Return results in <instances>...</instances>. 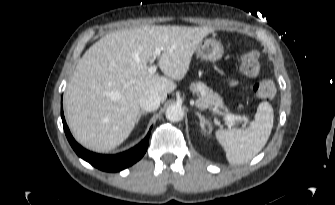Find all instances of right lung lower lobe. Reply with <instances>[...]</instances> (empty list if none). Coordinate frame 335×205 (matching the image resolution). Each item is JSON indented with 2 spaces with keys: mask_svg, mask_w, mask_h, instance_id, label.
I'll return each instance as SVG.
<instances>
[{
  "mask_svg": "<svg viewBox=\"0 0 335 205\" xmlns=\"http://www.w3.org/2000/svg\"><path fill=\"white\" fill-rule=\"evenodd\" d=\"M61 118H62L63 128L65 131L66 137L70 145L76 152V154L100 170L107 171V172L121 171L131 166L138 160H140L147 150L150 131L148 132L146 137L137 146L123 153L116 154V155H100V154L90 152L84 149L83 147H81L72 137L70 130L66 124L62 107H61Z\"/></svg>",
  "mask_w": 335,
  "mask_h": 205,
  "instance_id": "obj_1",
  "label": "right lung lower lobe"
}]
</instances>
